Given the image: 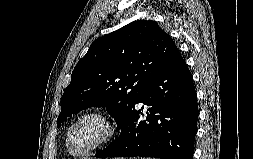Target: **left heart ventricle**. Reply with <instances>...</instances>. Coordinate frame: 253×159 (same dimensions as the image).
<instances>
[{"instance_id": "left-heart-ventricle-1", "label": "left heart ventricle", "mask_w": 253, "mask_h": 159, "mask_svg": "<svg viewBox=\"0 0 253 159\" xmlns=\"http://www.w3.org/2000/svg\"><path fill=\"white\" fill-rule=\"evenodd\" d=\"M105 131L106 125L101 118L97 116L86 117L76 125L70 145L76 152H84L97 142Z\"/></svg>"}]
</instances>
